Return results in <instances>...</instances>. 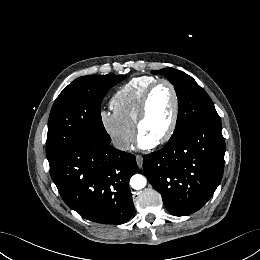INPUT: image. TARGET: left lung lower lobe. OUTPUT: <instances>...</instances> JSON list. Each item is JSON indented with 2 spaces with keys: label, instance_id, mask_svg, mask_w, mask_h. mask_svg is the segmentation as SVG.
I'll list each match as a JSON object with an SVG mask.
<instances>
[{
  "label": "left lung lower lobe",
  "instance_id": "0a47b994",
  "mask_svg": "<svg viewBox=\"0 0 260 260\" xmlns=\"http://www.w3.org/2000/svg\"><path fill=\"white\" fill-rule=\"evenodd\" d=\"M221 129L220 119L197 123L144 157L146 177L171 214L199 210L220 184L225 153Z\"/></svg>",
  "mask_w": 260,
  "mask_h": 260
}]
</instances>
